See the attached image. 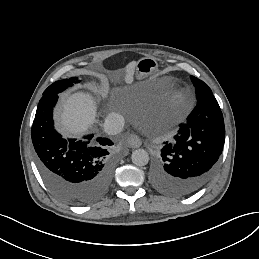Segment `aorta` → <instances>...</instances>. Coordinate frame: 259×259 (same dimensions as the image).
<instances>
[{
    "instance_id": "1",
    "label": "aorta",
    "mask_w": 259,
    "mask_h": 259,
    "mask_svg": "<svg viewBox=\"0 0 259 259\" xmlns=\"http://www.w3.org/2000/svg\"><path fill=\"white\" fill-rule=\"evenodd\" d=\"M131 159L136 166H145L146 164H148L149 155L146 150L137 149L132 152Z\"/></svg>"
}]
</instances>
